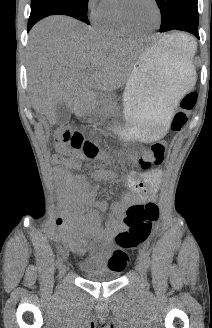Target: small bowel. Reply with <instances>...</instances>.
Listing matches in <instances>:
<instances>
[{
	"instance_id": "obj_1",
	"label": "small bowel",
	"mask_w": 212,
	"mask_h": 328,
	"mask_svg": "<svg viewBox=\"0 0 212 328\" xmlns=\"http://www.w3.org/2000/svg\"><path fill=\"white\" fill-rule=\"evenodd\" d=\"M62 151L61 148H58ZM55 164L57 178L66 185L65 202L80 205L86 208L85 214H74L73 221L83 230L80 236L79 249H92L95 257L101 262L107 259L105 245L118 232L124 231L128 224L125 219L126 212L132 205H137L155 199L156 187L162 181V171L153 168L141 173H130L123 176L117 171L103 173L102 169L94 170L88 177L84 175L72 176L67 169L78 170L80 164L76 156L64 157L56 154L52 157ZM121 182L124 187L120 199L111 204L104 199L97 198V182ZM109 211L108 218L105 213ZM111 270L122 271L125 266L111 265Z\"/></svg>"
}]
</instances>
